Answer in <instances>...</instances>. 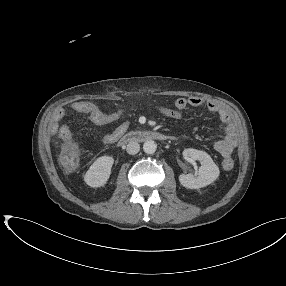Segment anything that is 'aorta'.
Listing matches in <instances>:
<instances>
[{
  "label": "aorta",
  "mask_w": 286,
  "mask_h": 286,
  "mask_svg": "<svg viewBox=\"0 0 286 286\" xmlns=\"http://www.w3.org/2000/svg\"><path fill=\"white\" fill-rule=\"evenodd\" d=\"M157 149V144L153 140H147L143 144V150L147 154L155 153Z\"/></svg>",
  "instance_id": "obj_1"
}]
</instances>
